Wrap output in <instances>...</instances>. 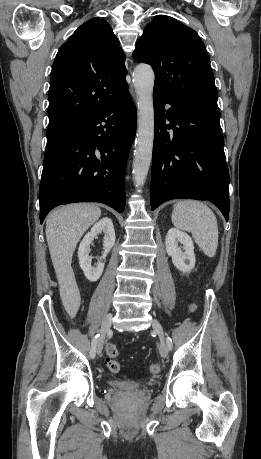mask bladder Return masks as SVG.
Wrapping results in <instances>:
<instances>
[{"instance_id": "obj_1", "label": "bladder", "mask_w": 261, "mask_h": 459, "mask_svg": "<svg viewBox=\"0 0 261 459\" xmlns=\"http://www.w3.org/2000/svg\"><path fill=\"white\" fill-rule=\"evenodd\" d=\"M111 384L115 389L124 392H134L141 388V383L134 380H113Z\"/></svg>"}]
</instances>
